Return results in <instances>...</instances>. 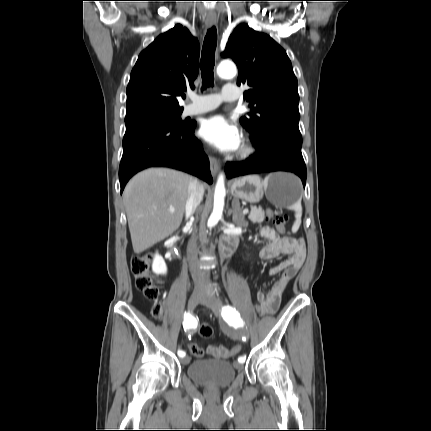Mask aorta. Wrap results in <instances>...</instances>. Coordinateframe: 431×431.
<instances>
[{
    "mask_svg": "<svg viewBox=\"0 0 431 431\" xmlns=\"http://www.w3.org/2000/svg\"><path fill=\"white\" fill-rule=\"evenodd\" d=\"M237 73L236 66L230 61H224L217 67V74L223 79L233 78ZM225 185L224 176L220 174L215 187L213 211L207 222V229H212L222 217L224 208Z\"/></svg>",
    "mask_w": 431,
    "mask_h": 431,
    "instance_id": "1",
    "label": "aorta"
}]
</instances>
